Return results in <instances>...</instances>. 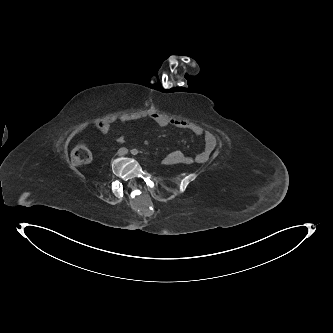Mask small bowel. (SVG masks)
<instances>
[{
	"instance_id": "obj_1",
	"label": "small bowel",
	"mask_w": 333,
	"mask_h": 333,
	"mask_svg": "<svg viewBox=\"0 0 333 333\" xmlns=\"http://www.w3.org/2000/svg\"><path fill=\"white\" fill-rule=\"evenodd\" d=\"M144 118L141 114H130L122 116L119 119H110V120H100L96 123L97 129L104 134L107 133H113L114 132V124L119 122L122 124L130 123V122H136L138 120H141ZM149 118L155 122L157 125L166 127V126H173L179 129H186L191 132H193L197 136L203 137L204 140V148L195 154L194 156H188L184 154L185 160H173L169 163L164 162L166 165H177V164H183V165H192L194 163L197 164H203L208 161L210 158L213 150L216 146V137L213 133H211L208 130H205L201 126L183 119H172L168 118L165 115H162L160 113H152L149 115ZM117 141L119 143H123L125 141V138L123 135H119L117 137Z\"/></svg>"
}]
</instances>
